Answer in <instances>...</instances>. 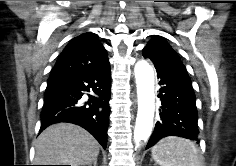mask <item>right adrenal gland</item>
I'll use <instances>...</instances> for the list:
<instances>
[{"label": "right adrenal gland", "mask_w": 236, "mask_h": 166, "mask_svg": "<svg viewBox=\"0 0 236 166\" xmlns=\"http://www.w3.org/2000/svg\"><path fill=\"white\" fill-rule=\"evenodd\" d=\"M92 166V165H89ZM93 166H97V159L93 162Z\"/></svg>", "instance_id": "right-adrenal-gland-1"}]
</instances>
